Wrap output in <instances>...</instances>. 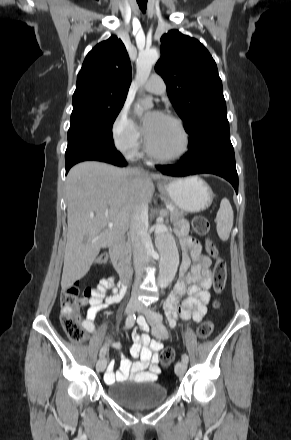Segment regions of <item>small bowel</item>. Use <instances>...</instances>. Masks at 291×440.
Segmentation results:
<instances>
[{
	"label": "small bowel",
	"mask_w": 291,
	"mask_h": 440,
	"mask_svg": "<svg viewBox=\"0 0 291 440\" xmlns=\"http://www.w3.org/2000/svg\"><path fill=\"white\" fill-rule=\"evenodd\" d=\"M175 234L183 246L180 278L175 282L173 290L165 301V313L171 323L176 322L179 314L184 319H192L198 323L205 316L210 301L211 259L202 253L200 242L189 236L188 224L185 221L177 223ZM107 290H111L110 295H106ZM126 291L127 285L116 282L114 278L100 281L92 294L90 307L81 320L83 328L91 334H96L97 316L120 301ZM139 321L145 329V320L141 318ZM132 341L130 355L137 361L131 362L129 358L122 356L118 367L114 362L110 363L104 376L106 382H121L127 378L154 380L160 374L158 352L163 348V344L151 340L147 334L136 332L132 334ZM112 343L118 346L117 342Z\"/></svg>",
	"instance_id": "small-bowel-1"
}]
</instances>
